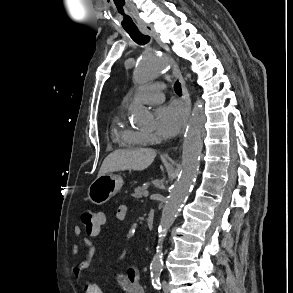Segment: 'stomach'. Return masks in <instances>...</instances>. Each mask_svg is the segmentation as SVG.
Listing matches in <instances>:
<instances>
[{
  "label": "stomach",
  "instance_id": "0dacf381",
  "mask_svg": "<svg viewBox=\"0 0 293 293\" xmlns=\"http://www.w3.org/2000/svg\"><path fill=\"white\" fill-rule=\"evenodd\" d=\"M123 186L119 175L105 174L97 177L89 186L88 198L96 205H102L112 198Z\"/></svg>",
  "mask_w": 293,
  "mask_h": 293
}]
</instances>
